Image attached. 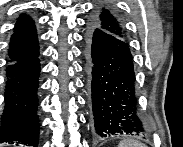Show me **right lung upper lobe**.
<instances>
[{
    "mask_svg": "<svg viewBox=\"0 0 183 147\" xmlns=\"http://www.w3.org/2000/svg\"><path fill=\"white\" fill-rule=\"evenodd\" d=\"M38 49L34 22L29 16L23 14L17 20L11 36L8 62L25 60L38 53Z\"/></svg>",
    "mask_w": 183,
    "mask_h": 147,
    "instance_id": "right-lung-upper-lobe-1",
    "label": "right lung upper lobe"
}]
</instances>
